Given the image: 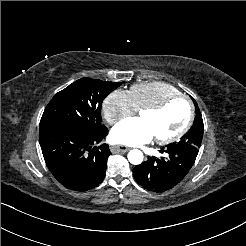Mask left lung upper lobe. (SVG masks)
Listing matches in <instances>:
<instances>
[{
    "label": "left lung upper lobe",
    "mask_w": 246,
    "mask_h": 246,
    "mask_svg": "<svg viewBox=\"0 0 246 246\" xmlns=\"http://www.w3.org/2000/svg\"><path fill=\"white\" fill-rule=\"evenodd\" d=\"M191 98L196 108V117L194 119L193 126L188 133L181 137L179 142H174V144H190L194 147L200 148L204 131L203 119L196 101L193 97Z\"/></svg>",
    "instance_id": "1"
}]
</instances>
